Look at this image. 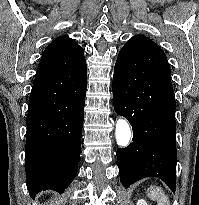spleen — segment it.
Returning <instances> with one entry per match:
<instances>
[{"mask_svg": "<svg viewBox=\"0 0 199 205\" xmlns=\"http://www.w3.org/2000/svg\"><path fill=\"white\" fill-rule=\"evenodd\" d=\"M147 194L149 198L156 200L158 205H170L169 198L161 187L151 186L147 190Z\"/></svg>", "mask_w": 199, "mask_h": 205, "instance_id": "1", "label": "spleen"}]
</instances>
